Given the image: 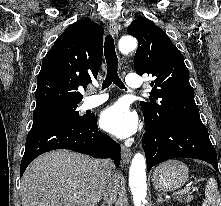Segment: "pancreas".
<instances>
[{
    "label": "pancreas",
    "mask_w": 221,
    "mask_h": 206,
    "mask_svg": "<svg viewBox=\"0 0 221 206\" xmlns=\"http://www.w3.org/2000/svg\"><path fill=\"white\" fill-rule=\"evenodd\" d=\"M176 200L180 203H188L193 200V195L181 194L180 197H177Z\"/></svg>",
    "instance_id": "obj_1"
}]
</instances>
